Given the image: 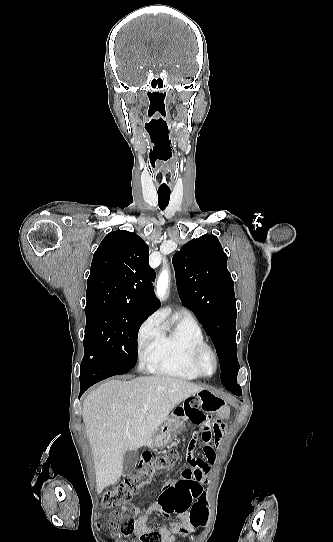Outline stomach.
I'll return each mask as SVG.
<instances>
[{
	"mask_svg": "<svg viewBox=\"0 0 333 542\" xmlns=\"http://www.w3.org/2000/svg\"><path fill=\"white\" fill-rule=\"evenodd\" d=\"M188 400H198L199 408L203 414H216V412H220L221 408L225 406V400L221 396H218V394L210 392V390H202V392L192 394ZM179 420L178 416H171L163 426L158 428L157 432L146 442L145 446H148V448H164V446L170 444L175 434L179 433L178 430L182 429L179 426Z\"/></svg>",
	"mask_w": 333,
	"mask_h": 542,
	"instance_id": "obj_1",
	"label": "stomach"
}]
</instances>
